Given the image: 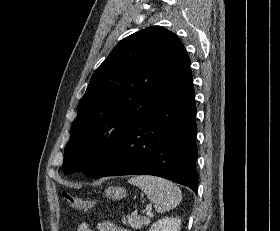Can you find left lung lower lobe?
<instances>
[{
  "label": "left lung lower lobe",
  "mask_w": 280,
  "mask_h": 231,
  "mask_svg": "<svg viewBox=\"0 0 280 231\" xmlns=\"http://www.w3.org/2000/svg\"><path fill=\"white\" fill-rule=\"evenodd\" d=\"M196 106L192 74L165 93L115 143L93 175H154L197 194Z\"/></svg>",
  "instance_id": "0a47b994"
}]
</instances>
